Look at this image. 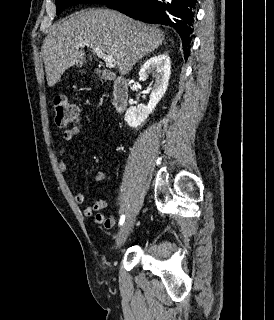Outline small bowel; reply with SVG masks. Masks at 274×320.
Instances as JSON below:
<instances>
[{"label": "small bowel", "instance_id": "1", "mask_svg": "<svg viewBox=\"0 0 274 320\" xmlns=\"http://www.w3.org/2000/svg\"><path fill=\"white\" fill-rule=\"evenodd\" d=\"M88 124L87 121L82 119H75L74 124L63 132L64 145L59 150L58 169L65 180L69 183L68 165L65 161V154L67 151V143H69L74 137L80 134L82 129ZM107 173L105 171H98L92 178V182H99L106 178ZM70 189L73 194L74 201L78 205H83L82 213L86 217H92L95 212H100L107 207V203L104 200H98L92 205H85L84 194L76 189L69 183ZM94 221L98 224H103L106 228H111L115 224V218L103 213H97L94 216Z\"/></svg>", "mask_w": 274, "mask_h": 320}]
</instances>
